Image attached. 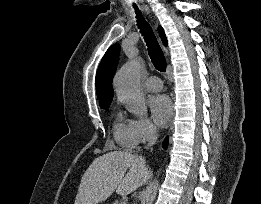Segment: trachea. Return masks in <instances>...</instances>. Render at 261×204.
Wrapping results in <instances>:
<instances>
[{
  "mask_svg": "<svg viewBox=\"0 0 261 204\" xmlns=\"http://www.w3.org/2000/svg\"><path fill=\"white\" fill-rule=\"evenodd\" d=\"M136 18H137V26L144 37L146 45L148 47V52L150 59L155 66V68L160 72L166 71V59L161 50V47L154 35V32L149 25V23L144 19L141 11L137 6H134Z\"/></svg>",
  "mask_w": 261,
  "mask_h": 204,
  "instance_id": "1",
  "label": "trachea"
}]
</instances>
